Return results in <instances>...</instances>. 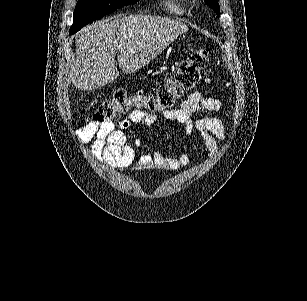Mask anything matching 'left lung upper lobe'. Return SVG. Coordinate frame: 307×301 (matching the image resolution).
Listing matches in <instances>:
<instances>
[{"instance_id":"left-lung-upper-lobe-1","label":"left lung upper lobe","mask_w":307,"mask_h":301,"mask_svg":"<svg viewBox=\"0 0 307 301\" xmlns=\"http://www.w3.org/2000/svg\"><path fill=\"white\" fill-rule=\"evenodd\" d=\"M204 1L214 10V12L218 16H220V7H219L217 0H204Z\"/></svg>"}]
</instances>
